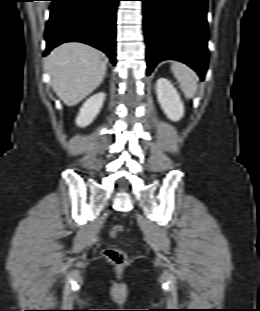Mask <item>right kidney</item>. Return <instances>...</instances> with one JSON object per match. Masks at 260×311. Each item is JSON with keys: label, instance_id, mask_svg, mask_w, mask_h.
I'll use <instances>...</instances> for the list:
<instances>
[{"label": "right kidney", "instance_id": "obj_1", "mask_svg": "<svg viewBox=\"0 0 260 311\" xmlns=\"http://www.w3.org/2000/svg\"><path fill=\"white\" fill-rule=\"evenodd\" d=\"M105 100L104 93H97L91 96L81 107L76 118V124L80 127L88 126L99 113Z\"/></svg>", "mask_w": 260, "mask_h": 311}]
</instances>
